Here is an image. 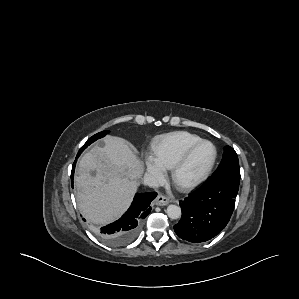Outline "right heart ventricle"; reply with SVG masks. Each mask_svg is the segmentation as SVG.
<instances>
[{"mask_svg": "<svg viewBox=\"0 0 299 299\" xmlns=\"http://www.w3.org/2000/svg\"><path fill=\"white\" fill-rule=\"evenodd\" d=\"M201 140L199 136L183 131L159 136L152 146L154 159L164 169H173L188 149Z\"/></svg>", "mask_w": 299, "mask_h": 299, "instance_id": "obj_1", "label": "right heart ventricle"}]
</instances>
